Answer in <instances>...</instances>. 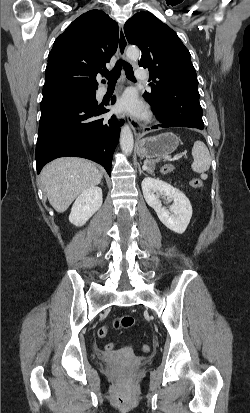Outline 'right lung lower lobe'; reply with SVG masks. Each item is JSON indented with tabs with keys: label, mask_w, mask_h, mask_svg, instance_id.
<instances>
[{
	"label": "right lung lower lobe",
	"mask_w": 250,
	"mask_h": 413,
	"mask_svg": "<svg viewBox=\"0 0 250 413\" xmlns=\"http://www.w3.org/2000/svg\"><path fill=\"white\" fill-rule=\"evenodd\" d=\"M92 96L43 97L40 105L37 172L53 159L77 156L101 164L111 174L113 152L124 120L102 118L109 110ZM112 104L115 97L111 99Z\"/></svg>",
	"instance_id": "98d812e1"
}]
</instances>
